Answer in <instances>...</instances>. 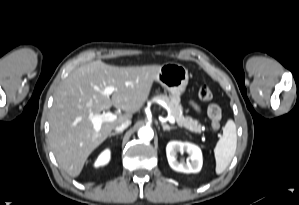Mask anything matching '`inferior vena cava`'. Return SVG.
I'll return each instance as SVG.
<instances>
[{"mask_svg":"<svg viewBox=\"0 0 299 205\" xmlns=\"http://www.w3.org/2000/svg\"><path fill=\"white\" fill-rule=\"evenodd\" d=\"M131 124L130 120H126L125 122L121 123L120 125H117L115 127V131L116 132H122L123 130H125L129 125Z\"/></svg>","mask_w":299,"mask_h":205,"instance_id":"602c4592","label":"inferior vena cava"}]
</instances>
